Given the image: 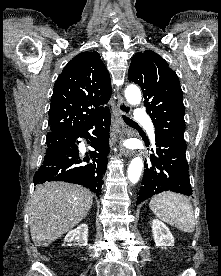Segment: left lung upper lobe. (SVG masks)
Here are the masks:
<instances>
[{
	"instance_id": "left-lung-upper-lobe-1",
	"label": "left lung upper lobe",
	"mask_w": 221,
	"mask_h": 276,
	"mask_svg": "<svg viewBox=\"0 0 221 276\" xmlns=\"http://www.w3.org/2000/svg\"><path fill=\"white\" fill-rule=\"evenodd\" d=\"M128 79L137 83L144 96V106L155 125V135L168 137L186 146L183 93L176 73L153 51L136 53Z\"/></svg>"
}]
</instances>
